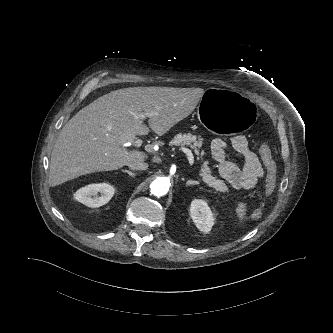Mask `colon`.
<instances>
[{
    "label": "colon",
    "instance_id": "5ec220e1",
    "mask_svg": "<svg viewBox=\"0 0 333 333\" xmlns=\"http://www.w3.org/2000/svg\"><path fill=\"white\" fill-rule=\"evenodd\" d=\"M259 154L267 171L265 191L266 195L269 196L272 194L276 186L277 166L273 159L271 148L268 144H263L260 147ZM262 210V207L254 210L251 214V218H258L262 214Z\"/></svg>",
    "mask_w": 333,
    "mask_h": 333
}]
</instances>
